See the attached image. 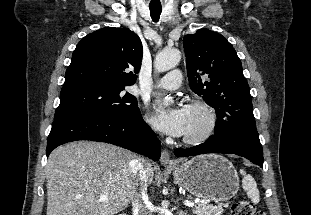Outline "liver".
Instances as JSON below:
<instances>
[{
  "label": "liver",
  "instance_id": "1",
  "mask_svg": "<svg viewBox=\"0 0 311 215\" xmlns=\"http://www.w3.org/2000/svg\"><path fill=\"white\" fill-rule=\"evenodd\" d=\"M134 155L99 142L77 141L52 151L46 164L47 215H114L126 209L141 179H134ZM146 186L154 171L144 160ZM106 194L107 200L100 201Z\"/></svg>",
  "mask_w": 311,
  "mask_h": 215
}]
</instances>
